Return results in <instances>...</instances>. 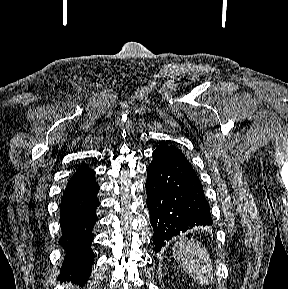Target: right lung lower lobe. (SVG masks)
<instances>
[{
	"instance_id": "98d812e1",
	"label": "right lung lower lobe",
	"mask_w": 288,
	"mask_h": 289,
	"mask_svg": "<svg viewBox=\"0 0 288 289\" xmlns=\"http://www.w3.org/2000/svg\"><path fill=\"white\" fill-rule=\"evenodd\" d=\"M99 185L95 172L81 165L68 181L60 205V243L65 249L62 279L85 282L89 279L94 253L90 246L97 221Z\"/></svg>"
}]
</instances>
